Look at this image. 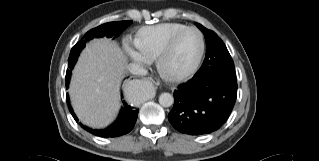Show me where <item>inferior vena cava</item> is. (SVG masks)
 I'll return each instance as SVG.
<instances>
[{"mask_svg":"<svg viewBox=\"0 0 319 161\" xmlns=\"http://www.w3.org/2000/svg\"><path fill=\"white\" fill-rule=\"evenodd\" d=\"M128 70L131 74H134V75H146L147 73V71L143 68V66L138 63L129 64Z\"/></svg>","mask_w":319,"mask_h":161,"instance_id":"inferior-vena-cava-1","label":"inferior vena cava"}]
</instances>
